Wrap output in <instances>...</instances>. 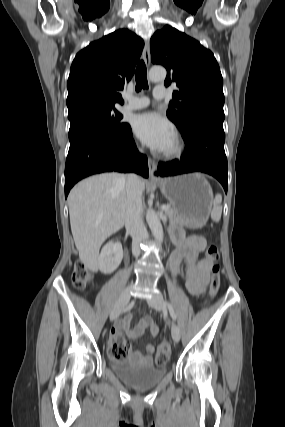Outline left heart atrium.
I'll use <instances>...</instances> for the list:
<instances>
[{"label":"left heart atrium","mask_w":285,"mask_h":427,"mask_svg":"<svg viewBox=\"0 0 285 427\" xmlns=\"http://www.w3.org/2000/svg\"><path fill=\"white\" fill-rule=\"evenodd\" d=\"M133 130L144 144L159 152L169 148L175 135L173 125L155 112L138 115L133 122Z\"/></svg>","instance_id":"39dd6f15"}]
</instances>
